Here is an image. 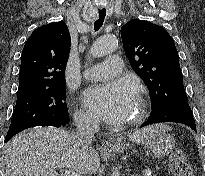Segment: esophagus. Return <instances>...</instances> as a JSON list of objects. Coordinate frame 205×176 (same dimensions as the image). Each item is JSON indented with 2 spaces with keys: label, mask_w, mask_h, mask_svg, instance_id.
Masks as SVG:
<instances>
[{
  "label": "esophagus",
  "mask_w": 205,
  "mask_h": 176,
  "mask_svg": "<svg viewBox=\"0 0 205 176\" xmlns=\"http://www.w3.org/2000/svg\"><path fill=\"white\" fill-rule=\"evenodd\" d=\"M114 146V142L113 141H104L103 142V147L108 148V147H113Z\"/></svg>",
  "instance_id": "34e87169"
}]
</instances>
